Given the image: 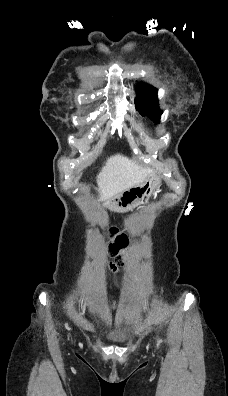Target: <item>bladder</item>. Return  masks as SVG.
Returning <instances> with one entry per match:
<instances>
[{
    "label": "bladder",
    "instance_id": "obj_1",
    "mask_svg": "<svg viewBox=\"0 0 228 396\" xmlns=\"http://www.w3.org/2000/svg\"><path fill=\"white\" fill-rule=\"evenodd\" d=\"M96 327L103 338L112 343L125 345L133 339V325L110 326L107 321L99 320L96 323Z\"/></svg>",
    "mask_w": 228,
    "mask_h": 396
}]
</instances>
